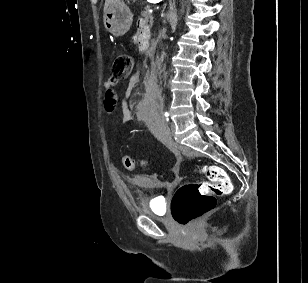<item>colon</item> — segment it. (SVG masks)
Wrapping results in <instances>:
<instances>
[{"mask_svg": "<svg viewBox=\"0 0 308 283\" xmlns=\"http://www.w3.org/2000/svg\"><path fill=\"white\" fill-rule=\"evenodd\" d=\"M133 68L130 55L120 54L115 57L111 68L110 82L116 83L128 77ZM137 162L130 156L123 157V165L132 170ZM207 181L187 183L177 189L172 197L171 210L176 222L189 226L209 213L216 205V197L231 192V181L226 171L216 165L202 168Z\"/></svg>", "mask_w": 308, "mask_h": 283, "instance_id": "5ec220e1", "label": "colon"}]
</instances>
